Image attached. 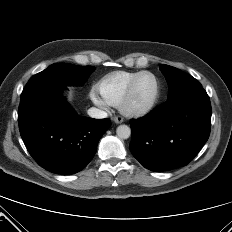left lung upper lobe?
I'll list each match as a JSON object with an SVG mask.
<instances>
[{"label":"left lung upper lobe","mask_w":232,"mask_h":232,"mask_svg":"<svg viewBox=\"0 0 232 232\" xmlns=\"http://www.w3.org/2000/svg\"><path fill=\"white\" fill-rule=\"evenodd\" d=\"M160 69L165 75L169 84L168 99L180 94L185 90L202 86L194 77L175 67L162 64Z\"/></svg>","instance_id":"obj_1"}]
</instances>
